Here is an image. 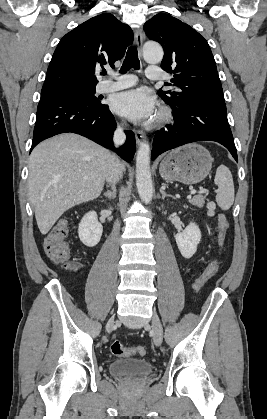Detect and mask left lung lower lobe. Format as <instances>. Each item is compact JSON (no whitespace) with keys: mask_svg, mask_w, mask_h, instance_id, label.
I'll use <instances>...</instances> for the list:
<instances>
[{"mask_svg":"<svg viewBox=\"0 0 267 419\" xmlns=\"http://www.w3.org/2000/svg\"><path fill=\"white\" fill-rule=\"evenodd\" d=\"M174 124L156 132L151 159L178 146L195 141H216L225 146L238 162L237 151L227 120L225 102L195 103L173 112Z\"/></svg>","mask_w":267,"mask_h":419,"instance_id":"obj_1","label":"left lung lower lobe"}]
</instances>
